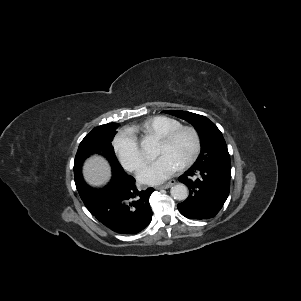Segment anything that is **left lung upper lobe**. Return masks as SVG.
I'll use <instances>...</instances> for the list:
<instances>
[{
  "label": "left lung upper lobe",
  "mask_w": 301,
  "mask_h": 301,
  "mask_svg": "<svg viewBox=\"0 0 301 301\" xmlns=\"http://www.w3.org/2000/svg\"><path fill=\"white\" fill-rule=\"evenodd\" d=\"M163 112L186 120L198 131L202 149L194 166H222L231 168L227 145L222 133L213 122L205 116L187 111L164 110Z\"/></svg>",
  "instance_id": "5c2ea615"
}]
</instances>
